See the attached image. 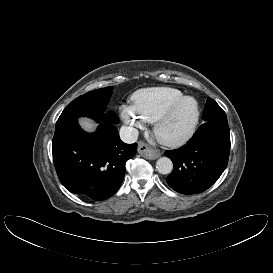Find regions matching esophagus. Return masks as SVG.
Segmentation results:
<instances>
[{"instance_id": "obj_1", "label": "esophagus", "mask_w": 273, "mask_h": 273, "mask_svg": "<svg viewBox=\"0 0 273 273\" xmlns=\"http://www.w3.org/2000/svg\"><path fill=\"white\" fill-rule=\"evenodd\" d=\"M138 153L146 159L154 160L161 156V152L157 149H153L146 143L140 141L138 143Z\"/></svg>"}]
</instances>
